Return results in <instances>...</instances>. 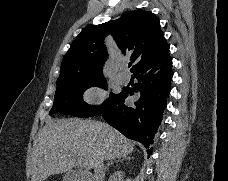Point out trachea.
<instances>
[{
	"label": "trachea",
	"instance_id": "trachea-1",
	"mask_svg": "<svg viewBox=\"0 0 228 181\" xmlns=\"http://www.w3.org/2000/svg\"><path fill=\"white\" fill-rule=\"evenodd\" d=\"M131 65H132V64H131V63H129V64H128V67L130 68V67H131Z\"/></svg>",
	"mask_w": 228,
	"mask_h": 181
}]
</instances>
